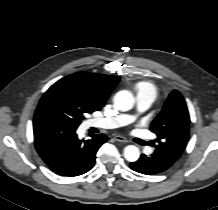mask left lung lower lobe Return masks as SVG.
Masks as SVG:
<instances>
[{"label": "left lung lower lobe", "instance_id": "1", "mask_svg": "<svg viewBox=\"0 0 218 210\" xmlns=\"http://www.w3.org/2000/svg\"><path fill=\"white\" fill-rule=\"evenodd\" d=\"M177 160L175 156H169L156 149L150 156L142 154L136 162L130 164V168L142 174L153 175L167 170Z\"/></svg>", "mask_w": 218, "mask_h": 210}]
</instances>
